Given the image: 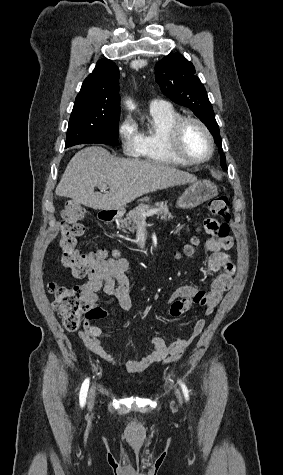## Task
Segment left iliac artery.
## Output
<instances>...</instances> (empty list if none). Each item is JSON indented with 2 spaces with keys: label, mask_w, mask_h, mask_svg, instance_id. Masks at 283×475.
<instances>
[{
  "label": "left iliac artery",
  "mask_w": 283,
  "mask_h": 475,
  "mask_svg": "<svg viewBox=\"0 0 283 475\" xmlns=\"http://www.w3.org/2000/svg\"><path fill=\"white\" fill-rule=\"evenodd\" d=\"M179 382H180V381H179ZM180 385H181V387H182V390H183V393H184V395H185L186 400H188V399H189V395H188V389H187V387L185 386V384H183V383H181V382H180Z\"/></svg>",
  "instance_id": "1"
}]
</instances>
